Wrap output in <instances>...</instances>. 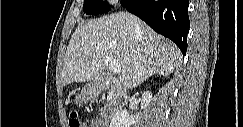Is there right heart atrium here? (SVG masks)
<instances>
[{
  "label": "right heart atrium",
  "mask_w": 243,
  "mask_h": 127,
  "mask_svg": "<svg viewBox=\"0 0 243 127\" xmlns=\"http://www.w3.org/2000/svg\"><path fill=\"white\" fill-rule=\"evenodd\" d=\"M111 3H115L116 1H110Z\"/></svg>",
  "instance_id": "1"
}]
</instances>
